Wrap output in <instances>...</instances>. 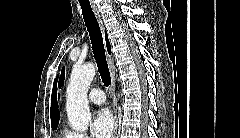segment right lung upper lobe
Returning a JSON list of instances; mask_svg holds the SVG:
<instances>
[{
    "mask_svg": "<svg viewBox=\"0 0 240 138\" xmlns=\"http://www.w3.org/2000/svg\"><path fill=\"white\" fill-rule=\"evenodd\" d=\"M105 38H106V44H107V49L108 52L111 53L110 51V43L109 40L107 38V34L105 32ZM57 78L54 81V86H53V91H52V97H51V109H50V114H51V124L52 126L54 125H58L59 123V110H58V103H57V97H56V92H57Z\"/></svg>",
    "mask_w": 240,
    "mask_h": 138,
    "instance_id": "1",
    "label": "right lung upper lobe"
}]
</instances>
